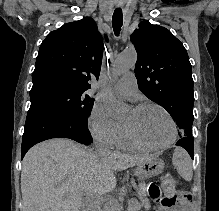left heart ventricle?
<instances>
[{
    "label": "left heart ventricle",
    "instance_id": "left-heart-ventricle-1",
    "mask_svg": "<svg viewBox=\"0 0 219 211\" xmlns=\"http://www.w3.org/2000/svg\"><path fill=\"white\" fill-rule=\"evenodd\" d=\"M123 123L143 141L152 145L165 144L172 135L169 119L156 107L130 108L123 118Z\"/></svg>",
    "mask_w": 219,
    "mask_h": 211
}]
</instances>
